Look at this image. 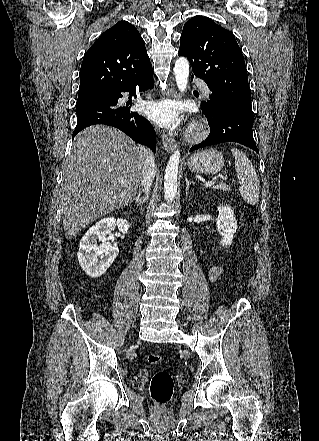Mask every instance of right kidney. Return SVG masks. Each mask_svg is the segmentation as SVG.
Instances as JSON below:
<instances>
[{
	"instance_id": "right-kidney-1",
	"label": "right kidney",
	"mask_w": 319,
	"mask_h": 441,
	"mask_svg": "<svg viewBox=\"0 0 319 441\" xmlns=\"http://www.w3.org/2000/svg\"><path fill=\"white\" fill-rule=\"evenodd\" d=\"M115 226L119 232L125 234L130 224L122 218H103L91 226L80 241L78 261L85 273L92 278L103 275L119 253L117 245L106 241V235L110 234ZM97 240L101 242L100 245H97ZM100 255L101 259L98 260Z\"/></svg>"
}]
</instances>
